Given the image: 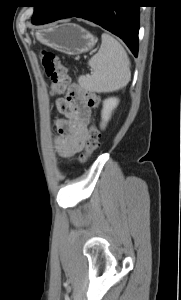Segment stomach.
Masks as SVG:
<instances>
[{
    "mask_svg": "<svg viewBox=\"0 0 181 300\" xmlns=\"http://www.w3.org/2000/svg\"><path fill=\"white\" fill-rule=\"evenodd\" d=\"M42 44L68 55H79L91 50L96 38L86 29L73 23L54 25L36 33Z\"/></svg>",
    "mask_w": 181,
    "mask_h": 300,
    "instance_id": "1",
    "label": "stomach"
}]
</instances>
